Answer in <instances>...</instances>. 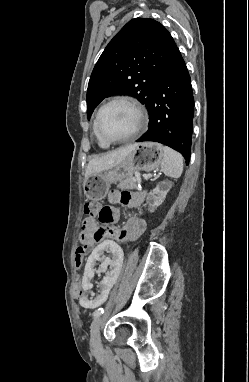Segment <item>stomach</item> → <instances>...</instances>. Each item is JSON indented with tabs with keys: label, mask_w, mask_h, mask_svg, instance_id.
<instances>
[{
	"label": "stomach",
	"mask_w": 249,
	"mask_h": 382,
	"mask_svg": "<svg viewBox=\"0 0 249 382\" xmlns=\"http://www.w3.org/2000/svg\"><path fill=\"white\" fill-rule=\"evenodd\" d=\"M162 145L155 142L135 144L129 155L114 169L91 174L84 182V193L88 199L102 200L112 183H116L137 171H152L163 159Z\"/></svg>",
	"instance_id": "stomach-1"
}]
</instances>
